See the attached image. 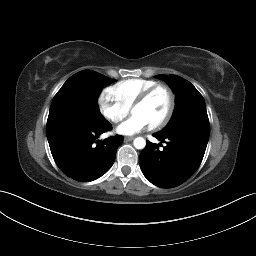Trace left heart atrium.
Wrapping results in <instances>:
<instances>
[{"instance_id":"39dd6f15","label":"left heart atrium","mask_w":256,"mask_h":256,"mask_svg":"<svg viewBox=\"0 0 256 256\" xmlns=\"http://www.w3.org/2000/svg\"><path fill=\"white\" fill-rule=\"evenodd\" d=\"M150 126L149 122L140 114H133L123 121L116 131L122 135H133L139 133Z\"/></svg>"}]
</instances>
